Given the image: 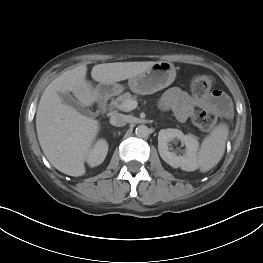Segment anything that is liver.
Here are the masks:
<instances>
[{
  "mask_svg": "<svg viewBox=\"0 0 263 263\" xmlns=\"http://www.w3.org/2000/svg\"><path fill=\"white\" fill-rule=\"evenodd\" d=\"M155 62L97 64L91 70L94 81L106 84L134 77ZM87 66L79 65L54 79L44 90L36 113L37 136L48 161L69 176L86 172L85 160L99 132V122L62 103L60 92H72L83 106L97 100V91L86 80Z\"/></svg>",
  "mask_w": 263,
  "mask_h": 263,
  "instance_id": "6515ba94",
  "label": "liver"
}]
</instances>
